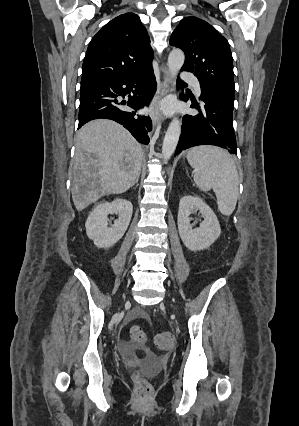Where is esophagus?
Here are the masks:
<instances>
[{
    "label": "esophagus",
    "instance_id": "34e87169",
    "mask_svg": "<svg viewBox=\"0 0 299 426\" xmlns=\"http://www.w3.org/2000/svg\"><path fill=\"white\" fill-rule=\"evenodd\" d=\"M162 79L160 88L156 91L151 106V119L154 124L163 119L162 112L159 108V104L162 98H164L171 91V80L169 71L166 65L161 67Z\"/></svg>",
    "mask_w": 299,
    "mask_h": 426
}]
</instances>
